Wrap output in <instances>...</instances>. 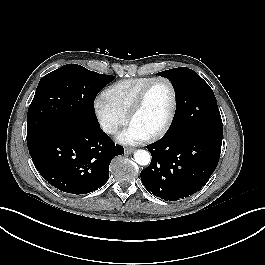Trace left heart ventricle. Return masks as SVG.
Returning <instances> with one entry per match:
<instances>
[{"label": "left heart ventricle", "mask_w": 265, "mask_h": 265, "mask_svg": "<svg viewBox=\"0 0 265 265\" xmlns=\"http://www.w3.org/2000/svg\"><path fill=\"white\" fill-rule=\"evenodd\" d=\"M172 102L171 90L167 83L157 82L149 90L140 111L130 124L135 125L147 136L151 135L165 123Z\"/></svg>", "instance_id": "obj_1"}]
</instances>
